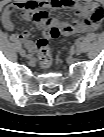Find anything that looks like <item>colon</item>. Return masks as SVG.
I'll list each match as a JSON object with an SVG mask.
<instances>
[{"mask_svg":"<svg viewBox=\"0 0 104 137\" xmlns=\"http://www.w3.org/2000/svg\"><path fill=\"white\" fill-rule=\"evenodd\" d=\"M34 22L43 25V37L37 43L36 58L42 67H49L52 63V54L49 47V40L55 39L60 35V29L53 26L49 20L48 13L39 10L34 13Z\"/></svg>","mask_w":104,"mask_h":137,"instance_id":"obj_1","label":"colon"}]
</instances>
